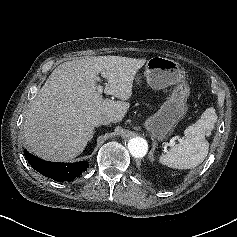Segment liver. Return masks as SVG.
<instances>
[{
	"label": "liver",
	"mask_w": 237,
	"mask_h": 237,
	"mask_svg": "<svg viewBox=\"0 0 237 237\" xmlns=\"http://www.w3.org/2000/svg\"><path fill=\"white\" fill-rule=\"evenodd\" d=\"M145 59L98 56L60 64L33 100L24 122V140L36 156L66 161L78 156L93 134V120L107 116L120 122L132 95L136 73ZM106 79L104 99L97 91L98 74Z\"/></svg>",
	"instance_id": "liver-1"
}]
</instances>
